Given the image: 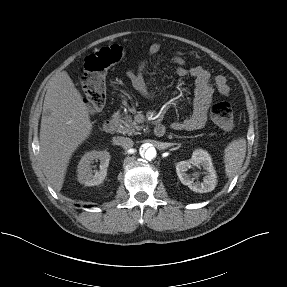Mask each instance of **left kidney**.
Returning a JSON list of instances; mask_svg holds the SVG:
<instances>
[{"label":"left kidney","mask_w":287,"mask_h":287,"mask_svg":"<svg viewBox=\"0 0 287 287\" xmlns=\"http://www.w3.org/2000/svg\"><path fill=\"white\" fill-rule=\"evenodd\" d=\"M192 166L202 167L206 171L203 182H194L186 173ZM176 173L181 183L188 186L196 193L211 192L216 187V172L212 164L211 156L206 150L196 149L194 150L191 159L178 162L176 164Z\"/></svg>","instance_id":"obj_1"}]
</instances>
